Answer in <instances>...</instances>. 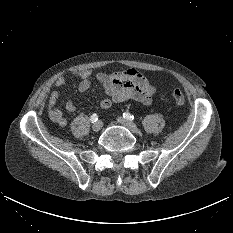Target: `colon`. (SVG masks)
Instances as JSON below:
<instances>
[{"label": "colon", "instance_id": "1", "mask_svg": "<svg viewBox=\"0 0 233 233\" xmlns=\"http://www.w3.org/2000/svg\"><path fill=\"white\" fill-rule=\"evenodd\" d=\"M171 95H172V97L177 105L181 106V105L185 104L186 98L180 90H178V89L172 90Z\"/></svg>", "mask_w": 233, "mask_h": 233}]
</instances>
